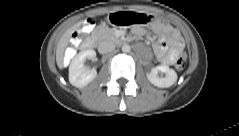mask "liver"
Returning <instances> with one entry per match:
<instances>
[{
  "label": "liver",
  "instance_id": "6515ba94",
  "mask_svg": "<svg viewBox=\"0 0 239 136\" xmlns=\"http://www.w3.org/2000/svg\"><path fill=\"white\" fill-rule=\"evenodd\" d=\"M82 22H78L74 26L70 27L60 38L58 45H57V50H56V62L59 68H63V54L64 50L68 45L69 39L72 36V33L79 28Z\"/></svg>",
  "mask_w": 239,
  "mask_h": 136
}]
</instances>
